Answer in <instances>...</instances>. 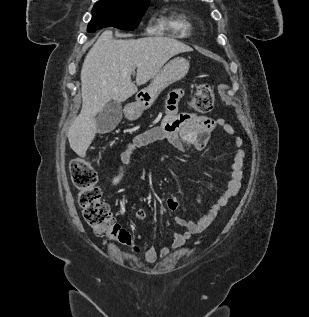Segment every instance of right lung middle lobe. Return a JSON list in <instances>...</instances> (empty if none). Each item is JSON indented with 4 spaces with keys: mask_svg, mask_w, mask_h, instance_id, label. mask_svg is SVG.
Instances as JSON below:
<instances>
[{
    "mask_svg": "<svg viewBox=\"0 0 309 317\" xmlns=\"http://www.w3.org/2000/svg\"><path fill=\"white\" fill-rule=\"evenodd\" d=\"M149 2L134 0H100L92 10V20L87 31L94 32L104 27L134 30L147 10Z\"/></svg>",
    "mask_w": 309,
    "mask_h": 317,
    "instance_id": "right-lung-middle-lobe-1",
    "label": "right lung middle lobe"
}]
</instances>
